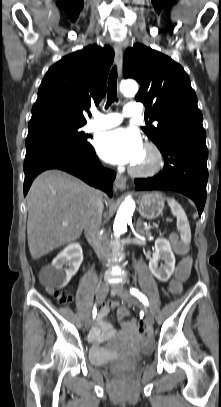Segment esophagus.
<instances>
[{"mask_svg":"<svg viewBox=\"0 0 221 407\" xmlns=\"http://www.w3.org/2000/svg\"><path fill=\"white\" fill-rule=\"evenodd\" d=\"M115 50V60L117 63L118 67V74L119 77L122 75V65H123V52H122V47L120 44L116 43L114 46ZM115 188L118 190H125L126 189V178L117 174L115 182H114Z\"/></svg>","mask_w":221,"mask_h":407,"instance_id":"1","label":"esophagus"}]
</instances>
